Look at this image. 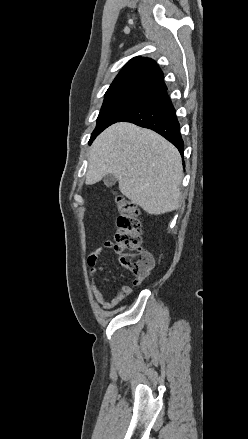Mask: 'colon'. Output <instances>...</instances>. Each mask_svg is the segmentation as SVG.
<instances>
[{"label": "colon", "mask_w": 248, "mask_h": 439, "mask_svg": "<svg viewBox=\"0 0 248 439\" xmlns=\"http://www.w3.org/2000/svg\"><path fill=\"white\" fill-rule=\"evenodd\" d=\"M118 217L113 245L120 254L121 264L135 277V284L151 272L154 266L152 255L142 247L139 209L130 199L116 196Z\"/></svg>", "instance_id": "colon-1"}]
</instances>
